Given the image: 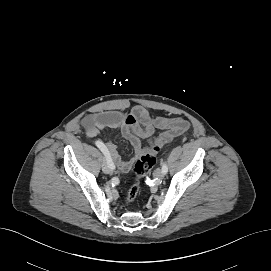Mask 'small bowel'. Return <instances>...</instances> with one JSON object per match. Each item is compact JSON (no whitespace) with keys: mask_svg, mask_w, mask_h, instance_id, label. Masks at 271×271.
Masks as SVG:
<instances>
[{"mask_svg":"<svg viewBox=\"0 0 271 271\" xmlns=\"http://www.w3.org/2000/svg\"><path fill=\"white\" fill-rule=\"evenodd\" d=\"M83 125L88 137H93L104 129H118L121 135L129 141L135 156L128 161L121 159L115 144L105 145L121 173L129 172L133 163L145 152L142 139L151 137L156 129L162 130V133L153 143L161 146L189 127L188 122L182 118L152 117L146 108L139 105L134 106L128 113L110 111L90 114L84 118Z\"/></svg>","mask_w":271,"mask_h":271,"instance_id":"obj_1","label":"small bowel"}]
</instances>
